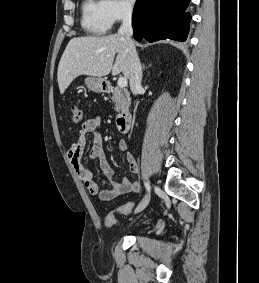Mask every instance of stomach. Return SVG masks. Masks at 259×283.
<instances>
[{
    "mask_svg": "<svg viewBox=\"0 0 259 283\" xmlns=\"http://www.w3.org/2000/svg\"><path fill=\"white\" fill-rule=\"evenodd\" d=\"M85 84L90 91L103 93L107 90L106 81L99 77H87Z\"/></svg>",
    "mask_w": 259,
    "mask_h": 283,
    "instance_id": "1",
    "label": "stomach"
}]
</instances>
